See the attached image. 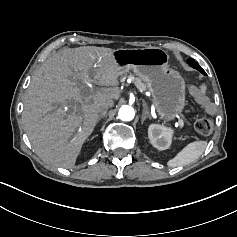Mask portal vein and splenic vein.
Segmentation results:
<instances>
[{
	"label": "portal vein and splenic vein",
	"mask_w": 237,
	"mask_h": 237,
	"mask_svg": "<svg viewBox=\"0 0 237 237\" xmlns=\"http://www.w3.org/2000/svg\"><path fill=\"white\" fill-rule=\"evenodd\" d=\"M180 119V121L178 122L179 123V127H180V130H184V122L181 120V118H179Z\"/></svg>",
	"instance_id": "obj_1"
}]
</instances>
